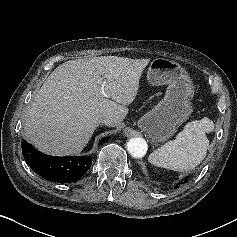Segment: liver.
Here are the masks:
<instances>
[{
  "label": "liver",
  "mask_w": 237,
  "mask_h": 237,
  "mask_svg": "<svg viewBox=\"0 0 237 237\" xmlns=\"http://www.w3.org/2000/svg\"><path fill=\"white\" fill-rule=\"evenodd\" d=\"M149 62L150 59L100 56L61 64L32 101L24 137L46 154L81 152L98 126L96 117H111L113 122L108 126L123 121ZM101 78L106 81L104 89Z\"/></svg>",
  "instance_id": "obj_1"
}]
</instances>
